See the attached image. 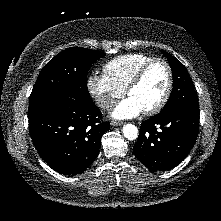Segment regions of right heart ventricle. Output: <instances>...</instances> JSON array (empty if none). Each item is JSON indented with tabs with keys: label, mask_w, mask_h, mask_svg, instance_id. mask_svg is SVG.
<instances>
[{
	"label": "right heart ventricle",
	"mask_w": 221,
	"mask_h": 221,
	"mask_svg": "<svg viewBox=\"0 0 221 221\" xmlns=\"http://www.w3.org/2000/svg\"><path fill=\"white\" fill-rule=\"evenodd\" d=\"M150 59L151 56L143 53L120 55L108 61L103 71L111 82L125 90L135 72Z\"/></svg>",
	"instance_id": "1"
}]
</instances>
